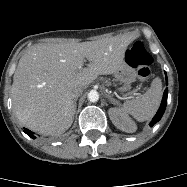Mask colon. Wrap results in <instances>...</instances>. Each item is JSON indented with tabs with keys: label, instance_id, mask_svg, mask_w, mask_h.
Segmentation results:
<instances>
[{
	"label": "colon",
	"instance_id": "obj_1",
	"mask_svg": "<svg viewBox=\"0 0 187 187\" xmlns=\"http://www.w3.org/2000/svg\"><path fill=\"white\" fill-rule=\"evenodd\" d=\"M126 60L129 65L138 69V78L141 82L148 79L151 73L150 65L153 59L142 42L137 41L131 46L127 51Z\"/></svg>",
	"mask_w": 187,
	"mask_h": 187
}]
</instances>
